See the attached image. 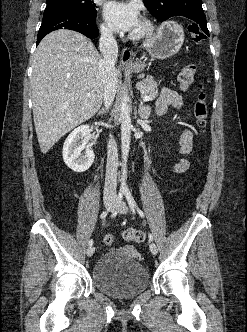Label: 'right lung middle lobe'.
<instances>
[{
	"label": "right lung middle lobe",
	"instance_id": "obj_1",
	"mask_svg": "<svg viewBox=\"0 0 247 332\" xmlns=\"http://www.w3.org/2000/svg\"><path fill=\"white\" fill-rule=\"evenodd\" d=\"M96 5L91 0H47L45 11L56 9H71L86 14L96 15Z\"/></svg>",
	"mask_w": 247,
	"mask_h": 332
}]
</instances>
